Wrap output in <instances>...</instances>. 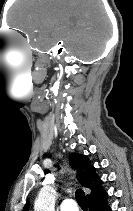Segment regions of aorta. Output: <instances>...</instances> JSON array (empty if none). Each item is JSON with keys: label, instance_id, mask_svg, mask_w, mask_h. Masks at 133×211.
Here are the masks:
<instances>
[{"label": "aorta", "instance_id": "aorta-1", "mask_svg": "<svg viewBox=\"0 0 133 211\" xmlns=\"http://www.w3.org/2000/svg\"><path fill=\"white\" fill-rule=\"evenodd\" d=\"M55 190L52 187L44 186L35 200V211H55Z\"/></svg>", "mask_w": 133, "mask_h": 211}]
</instances>
